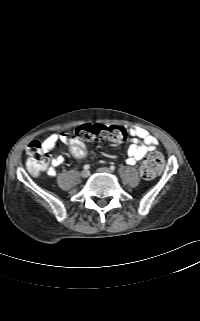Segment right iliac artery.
I'll list each match as a JSON object with an SVG mask.
<instances>
[{"label":"right iliac artery","instance_id":"right-iliac-artery-1","mask_svg":"<svg viewBox=\"0 0 200 321\" xmlns=\"http://www.w3.org/2000/svg\"><path fill=\"white\" fill-rule=\"evenodd\" d=\"M85 170H88L90 168V166L88 164L84 165L83 167Z\"/></svg>","mask_w":200,"mask_h":321}]
</instances>
